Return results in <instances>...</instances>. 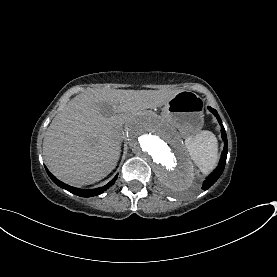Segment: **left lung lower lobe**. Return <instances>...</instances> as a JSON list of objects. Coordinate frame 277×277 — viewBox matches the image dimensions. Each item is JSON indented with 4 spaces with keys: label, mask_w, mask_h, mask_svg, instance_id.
<instances>
[{
    "label": "left lung lower lobe",
    "mask_w": 277,
    "mask_h": 277,
    "mask_svg": "<svg viewBox=\"0 0 277 277\" xmlns=\"http://www.w3.org/2000/svg\"><path fill=\"white\" fill-rule=\"evenodd\" d=\"M208 109L216 116V118L218 119V122L221 124V119L217 113V111L211 107H208ZM221 133H222V139L224 141V150L222 152L221 155V159L220 162L218 164V167L209 175L208 178H206V180L204 181V184L202 186V188L204 190H207L208 188H210L217 180L218 178L221 176L224 167H225V163H226V157H227V152H228V144H227V136H226V132L224 127H221Z\"/></svg>",
    "instance_id": "obj_1"
}]
</instances>
